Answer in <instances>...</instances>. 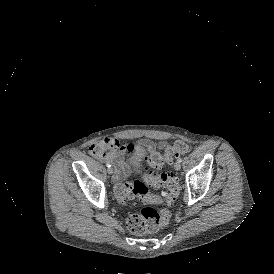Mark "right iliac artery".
<instances>
[{
    "mask_svg": "<svg viewBox=\"0 0 274 274\" xmlns=\"http://www.w3.org/2000/svg\"><path fill=\"white\" fill-rule=\"evenodd\" d=\"M106 166L109 168V167H111V164L110 163H106Z\"/></svg>",
    "mask_w": 274,
    "mask_h": 274,
    "instance_id": "obj_1",
    "label": "right iliac artery"
}]
</instances>
